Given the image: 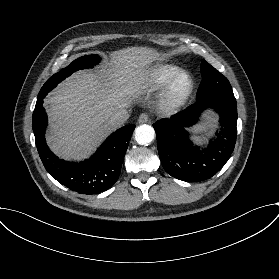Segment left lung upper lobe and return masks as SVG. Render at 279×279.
I'll list each match as a JSON object with an SVG mask.
<instances>
[{"label": "left lung upper lobe", "instance_id": "obj_1", "mask_svg": "<svg viewBox=\"0 0 279 279\" xmlns=\"http://www.w3.org/2000/svg\"><path fill=\"white\" fill-rule=\"evenodd\" d=\"M201 75L202 81L197 91L196 101L214 97L236 101L228 79L205 60L201 63Z\"/></svg>", "mask_w": 279, "mask_h": 279}]
</instances>
